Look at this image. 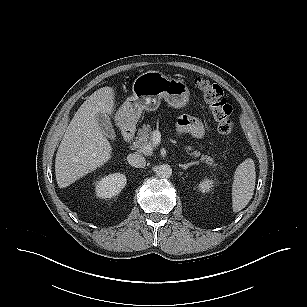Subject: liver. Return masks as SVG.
Masks as SVG:
<instances>
[{"label": "liver", "mask_w": 307, "mask_h": 307, "mask_svg": "<svg viewBox=\"0 0 307 307\" xmlns=\"http://www.w3.org/2000/svg\"><path fill=\"white\" fill-rule=\"evenodd\" d=\"M115 91L103 87L78 109L57 150L56 181L65 188L111 159L112 147L96 121L98 112L112 114Z\"/></svg>", "instance_id": "obj_1"}]
</instances>
